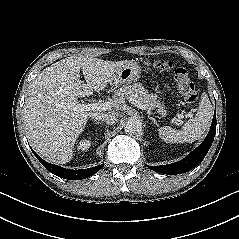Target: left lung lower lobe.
Instances as JSON below:
<instances>
[{
  "mask_svg": "<svg viewBox=\"0 0 239 239\" xmlns=\"http://www.w3.org/2000/svg\"><path fill=\"white\" fill-rule=\"evenodd\" d=\"M215 133H216V115H214L213 117L210 131L207 134L205 140L199 147H197L194 151L189 153L184 159L176 163L161 166H148V168L156 172H161L169 175L181 174L194 169L206 156L208 150L210 149L213 143Z\"/></svg>",
  "mask_w": 239,
  "mask_h": 239,
  "instance_id": "obj_1",
  "label": "left lung lower lobe"
}]
</instances>
